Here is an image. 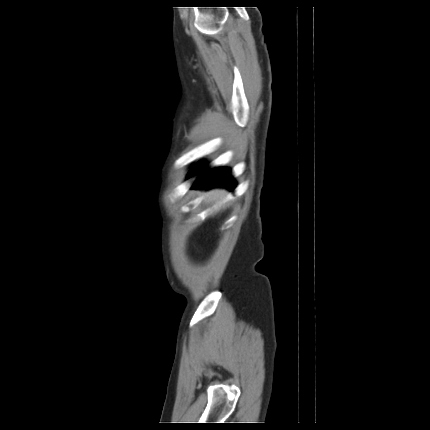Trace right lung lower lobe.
<instances>
[{
  "label": "right lung lower lobe",
  "instance_id": "98d812e1",
  "mask_svg": "<svg viewBox=\"0 0 430 430\" xmlns=\"http://www.w3.org/2000/svg\"><path fill=\"white\" fill-rule=\"evenodd\" d=\"M204 166L198 165L191 172L190 176L195 175ZM229 169L216 168L208 171H204L203 174L195 181L192 188L197 189L200 187L211 188L218 185H223L233 190L235 188V182L229 176Z\"/></svg>",
  "mask_w": 430,
  "mask_h": 430
}]
</instances>
